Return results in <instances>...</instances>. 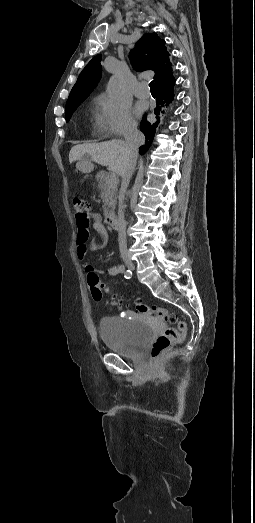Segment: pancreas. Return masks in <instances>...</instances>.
<instances>
[{"label": "pancreas", "instance_id": "obj_1", "mask_svg": "<svg viewBox=\"0 0 255 523\" xmlns=\"http://www.w3.org/2000/svg\"><path fill=\"white\" fill-rule=\"evenodd\" d=\"M96 180L101 190L103 200L104 216H111L117 204V184L119 182L116 174L111 175L109 172H98Z\"/></svg>", "mask_w": 255, "mask_h": 523}]
</instances>
